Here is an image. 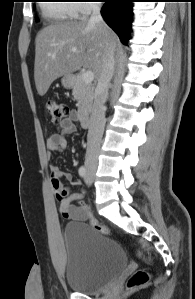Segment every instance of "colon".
Returning a JSON list of instances; mask_svg holds the SVG:
<instances>
[{
    "label": "colon",
    "instance_id": "colon-1",
    "mask_svg": "<svg viewBox=\"0 0 195 299\" xmlns=\"http://www.w3.org/2000/svg\"><path fill=\"white\" fill-rule=\"evenodd\" d=\"M46 109L53 124H59L69 115L68 105L63 102L50 100L46 103ZM56 188H58V181L56 183ZM56 196L58 199H63L64 193H62L59 190H56ZM79 213L86 221H88L91 224V226L95 230L102 234L109 233V229L105 225L101 224L95 217H93L84 204H80ZM146 260H148V258H146ZM148 280V273L143 270H139L129 278L127 282V287L129 289L142 287L148 282Z\"/></svg>",
    "mask_w": 195,
    "mask_h": 299
}]
</instances>
